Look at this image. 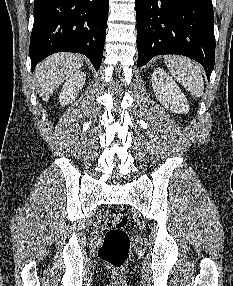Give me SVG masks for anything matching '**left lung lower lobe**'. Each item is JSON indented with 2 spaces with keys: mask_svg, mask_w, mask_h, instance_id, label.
<instances>
[{
  "mask_svg": "<svg viewBox=\"0 0 233 286\" xmlns=\"http://www.w3.org/2000/svg\"><path fill=\"white\" fill-rule=\"evenodd\" d=\"M138 67L163 54L188 56L214 69V12L211 0H135Z\"/></svg>",
  "mask_w": 233,
  "mask_h": 286,
  "instance_id": "obj_1",
  "label": "left lung lower lobe"
}]
</instances>
